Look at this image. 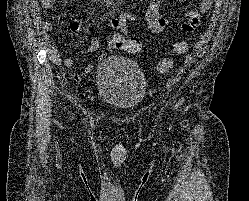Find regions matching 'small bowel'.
Listing matches in <instances>:
<instances>
[{
    "label": "small bowel",
    "instance_id": "obj_1",
    "mask_svg": "<svg viewBox=\"0 0 249 201\" xmlns=\"http://www.w3.org/2000/svg\"><path fill=\"white\" fill-rule=\"evenodd\" d=\"M215 0H200L199 8L196 10L187 11L184 14L185 21L181 24V30L183 32H191L196 28L200 22L202 15L208 12ZM56 2V0H43V3L47 6H51ZM162 0H154L150 6L147 8L143 16L135 15L129 12L122 13L119 17H113L109 21V27L114 31V33L109 36H118L119 38H125L128 34V22L135 21L140 23H145L148 28L153 33H159L163 31L169 24L170 20L166 14L161 13ZM43 27L47 31L53 30L54 26L51 22H44ZM81 24L79 21H74L70 29L72 33L77 34L80 31ZM99 48V42L97 38H93L88 46V52L92 53L97 51ZM108 51V50H107ZM110 52V51H108ZM105 54H100L98 56V61L101 62L105 59ZM64 65L70 68L74 65V60L71 57H66L64 59ZM94 70L93 64H88L85 67L86 73H91ZM75 78H79V74H74Z\"/></svg>",
    "mask_w": 249,
    "mask_h": 201
}]
</instances>
